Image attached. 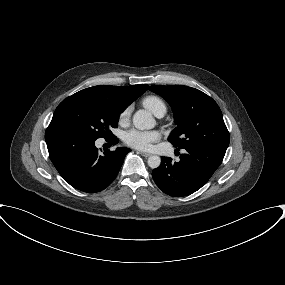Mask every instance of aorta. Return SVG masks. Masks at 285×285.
Instances as JSON below:
<instances>
[{"instance_id": "762f6f07", "label": "aorta", "mask_w": 285, "mask_h": 285, "mask_svg": "<svg viewBox=\"0 0 285 285\" xmlns=\"http://www.w3.org/2000/svg\"><path fill=\"white\" fill-rule=\"evenodd\" d=\"M133 124L137 129L145 130L154 128L156 121L150 112L146 110H138L133 115ZM161 164V158L157 155H152L148 158V165L152 169L158 168Z\"/></svg>"}]
</instances>
